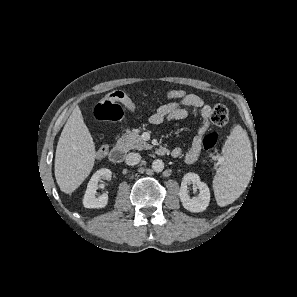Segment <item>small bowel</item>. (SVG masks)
I'll list each match as a JSON object with an SVG mask.
<instances>
[{
	"instance_id": "1",
	"label": "small bowel",
	"mask_w": 297,
	"mask_h": 297,
	"mask_svg": "<svg viewBox=\"0 0 297 297\" xmlns=\"http://www.w3.org/2000/svg\"><path fill=\"white\" fill-rule=\"evenodd\" d=\"M126 108L131 112L137 111V108L133 103L127 104ZM190 113L200 118L201 125L198 134L193 139L191 147L185 155V162L187 164L194 163L200 155L205 134L209 129L211 106L200 96L196 94H187L182 99L159 106L149 118L151 124L159 125L166 120L184 119L188 117ZM181 154L182 150L179 147H175L171 150V155L173 157H179Z\"/></svg>"
}]
</instances>
